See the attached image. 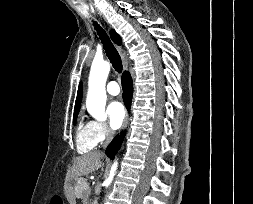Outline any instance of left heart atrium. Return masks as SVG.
Wrapping results in <instances>:
<instances>
[{
	"label": "left heart atrium",
	"mask_w": 253,
	"mask_h": 204,
	"mask_svg": "<svg viewBox=\"0 0 253 204\" xmlns=\"http://www.w3.org/2000/svg\"><path fill=\"white\" fill-rule=\"evenodd\" d=\"M109 124L111 128L118 129L125 118V110L123 105L118 101H112L106 109Z\"/></svg>",
	"instance_id": "1"
}]
</instances>
